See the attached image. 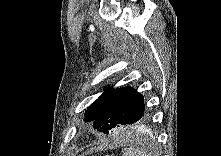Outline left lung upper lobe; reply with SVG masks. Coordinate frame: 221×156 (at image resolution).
I'll list each match as a JSON object with an SVG mask.
<instances>
[{"label":"left lung upper lobe","mask_w":221,"mask_h":156,"mask_svg":"<svg viewBox=\"0 0 221 156\" xmlns=\"http://www.w3.org/2000/svg\"><path fill=\"white\" fill-rule=\"evenodd\" d=\"M148 118L144 98L131 87L104 90L85 112V121L93 122L94 128L108 134L111 129L138 124Z\"/></svg>","instance_id":"1"}]
</instances>
